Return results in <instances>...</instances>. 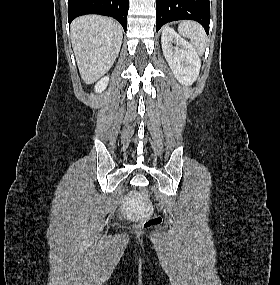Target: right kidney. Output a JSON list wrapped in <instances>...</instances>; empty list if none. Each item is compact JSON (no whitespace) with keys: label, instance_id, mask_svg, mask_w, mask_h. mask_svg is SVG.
Masks as SVG:
<instances>
[{"label":"right kidney","instance_id":"1","mask_svg":"<svg viewBox=\"0 0 280 285\" xmlns=\"http://www.w3.org/2000/svg\"><path fill=\"white\" fill-rule=\"evenodd\" d=\"M109 82V77L108 76H104L100 81L97 82V84L95 85V91L97 93H101L102 91H104L108 85Z\"/></svg>","mask_w":280,"mask_h":285}]
</instances>
